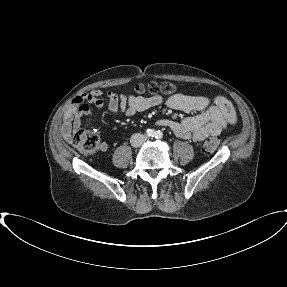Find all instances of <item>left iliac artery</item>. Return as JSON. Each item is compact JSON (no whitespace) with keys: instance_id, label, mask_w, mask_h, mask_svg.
<instances>
[{"instance_id":"44dca946","label":"left iliac artery","mask_w":287,"mask_h":287,"mask_svg":"<svg viewBox=\"0 0 287 287\" xmlns=\"http://www.w3.org/2000/svg\"><path fill=\"white\" fill-rule=\"evenodd\" d=\"M162 137H163V133L161 131H157L156 135H155V138L156 139H161Z\"/></svg>"}]
</instances>
